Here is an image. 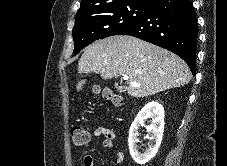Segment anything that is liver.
I'll return each instance as SVG.
<instances>
[{"label": "liver", "mask_w": 227, "mask_h": 166, "mask_svg": "<svg viewBox=\"0 0 227 166\" xmlns=\"http://www.w3.org/2000/svg\"><path fill=\"white\" fill-rule=\"evenodd\" d=\"M80 73L95 72L103 79L128 76L139 86L127 87L130 96L140 98L188 84L192 74L174 53L132 36H111L87 46L78 62ZM86 80L78 82L82 90Z\"/></svg>", "instance_id": "obj_1"}]
</instances>
